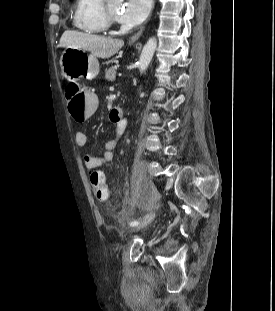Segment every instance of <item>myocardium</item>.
<instances>
[{
	"mask_svg": "<svg viewBox=\"0 0 275 311\" xmlns=\"http://www.w3.org/2000/svg\"><path fill=\"white\" fill-rule=\"evenodd\" d=\"M105 1L106 0H104V5H103V15L105 17L107 24L109 25L115 20V15L111 13V11L108 8V4Z\"/></svg>",
	"mask_w": 275,
	"mask_h": 311,
	"instance_id": "obj_1",
	"label": "myocardium"
}]
</instances>
